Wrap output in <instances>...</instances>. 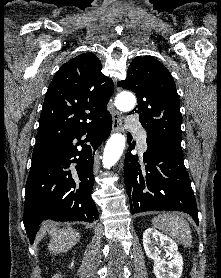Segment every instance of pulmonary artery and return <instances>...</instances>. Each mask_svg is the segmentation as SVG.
<instances>
[{
  "label": "pulmonary artery",
  "instance_id": "e3ab8cb5",
  "mask_svg": "<svg viewBox=\"0 0 221 278\" xmlns=\"http://www.w3.org/2000/svg\"><path fill=\"white\" fill-rule=\"evenodd\" d=\"M127 127L130 129L137 130L138 134V143L140 148L144 151L147 148V136L146 133L139 128V122L134 117H129L127 120Z\"/></svg>",
  "mask_w": 221,
  "mask_h": 278
}]
</instances>
